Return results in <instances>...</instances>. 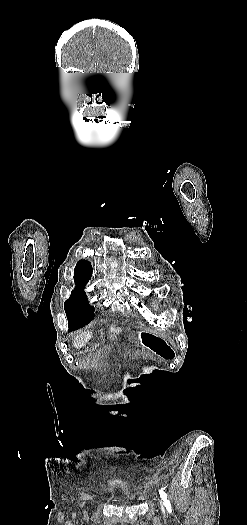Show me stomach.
I'll use <instances>...</instances> for the list:
<instances>
[{
	"mask_svg": "<svg viewBox=\"0 0 247 525\" xmlns=\"http://www.w3.org/2000/svg\"><path fill=\"white\" fill-rule=\"evenodd\" d=\"M137 335L139 344L161 359L171 360L174 358L175 352L168 340L160 336H156L148 331H140Z\"/></svg>",
	"mask_w": 247,
	"mask_h": 525,
	"instance_id": "stomach-1",
	"label": "stomach"
}]
</instances>
